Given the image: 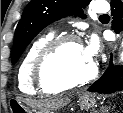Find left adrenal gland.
<instances>
[{"instance_id": "obj_1", "label": "left adrenal gland", "mask_w": 123, "mask_h": 113, "mask_svg": "<svg viewBox=\"0 0 123 113\" xmlns=\"http://www.w3.org/2000/svg\"><path fill=\"white\" fill-rule=\"evenodd\" d=\"M105 110H106V109L102 108L101 113H106V112H108V111H105Z\"/></svg>"}]
</instances>
